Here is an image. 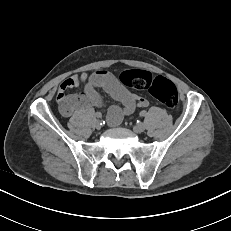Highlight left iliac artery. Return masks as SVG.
Wrapping results in <instances>:
<instances>
[{
    "label": "left iliac artery",
    "instance_id": "1",
    "mask_svg": "<svg viewBox=\"0 0 231 231\" xmlns=\"http://www.w3.org/2000/svg\"><path fill=\"white\" fill-rule=\"evenodd\" d=\"M146 114H147V113H146L145 110H143V111L140 112V115L143 116V117L146 116Z\"/></svg>",
    "mask_w": 231,
    "mask_h": 231
}]
</instances>
